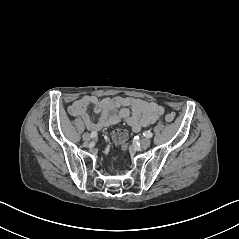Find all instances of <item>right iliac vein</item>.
Returning a JSON list of instances; mask_svg holds the SVG:
<instances>
[{
	"label": "right iliac vein",
	"instance_id": "63e3f726",
	"mask_svg": "<svg viewBox=\"0 0 239 239\" xmlns=\"http://www.w3.org/2000/svg\"><path fill=\"white\" fill-rule=\"evenodd\" d=\"M82 138L85 142H89L91 139L90 134L87 132L82 135Z\"/></svg>",
	"mask_w": 239,
	"mask_h": 239
}]
</instances>
